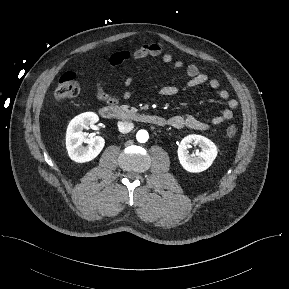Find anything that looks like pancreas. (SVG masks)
<instances>
[{
	"label": "pancreas",
	"instance_id": "obj_1",
	"mask_svg": "<svg viewBox=\"0 0 289 289\" xmlns=\"http://www.w3.org/2000/svg\"><path fill=\"white\" fill-rule=\"evenodd\" d=\"M124 110L127 111V112H130V113H135V112H137V109H136V108L132 107V108L129 109L128 106H125V107H124Z\"/></svg>",
	"mask_w": 289,
	"mask_h": 289
}]
</instances>
